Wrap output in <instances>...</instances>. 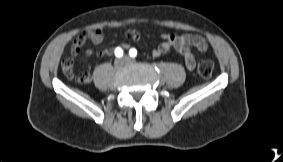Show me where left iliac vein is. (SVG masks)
Listing matches in <instances>:
<instances>
[{"mask_svg": "<svg viewBox=\"0 0 283 162\" xmlns=\"http://www.w3.org/2000/svg\"><path fill=\"white\" fill-rule=\"evenodd\" d=\"M124 61H125L126 63H132V62H133V60H132L131 58H129V57H125V58H124Z\"/></svg>", "mask_w": 283, "mask_h": 162, "instance_id": "1", "label": "left iliac vein"}]
</instances>
